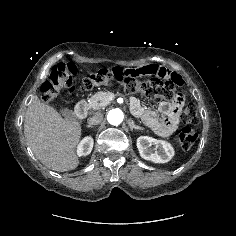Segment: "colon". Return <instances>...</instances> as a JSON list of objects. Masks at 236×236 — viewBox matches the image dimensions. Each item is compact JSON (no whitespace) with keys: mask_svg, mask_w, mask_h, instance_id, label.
I'll use <instances>...</instances> for the list:
<instances>
[{"mask_svg":"<svg viewBox=\"0 0 236 236\" xmlns=\"http://www.w3.org/2000/svg\"><path fill=\"white\" fill-rule=\"evenodd\" d=\"M116 68L122 67L99 69L78 83L76 81L77 70L75 66L70 63H59L52 68L47 80L41 86L42 99L45 102H53L62 90L75 94L116 81L128 93L141 92L147 98L162 99L171 105H178L183 100L180 90L173 80L162 81L157 77H153L146 82L119 81L114 77V70ZM181 120L185 124H195L198 121L197 107L193 104L188 105L182 112ZM197 137L198 134L194 128L189 126L183 127L179 134L180 146L184 150H189L194 145Z\"/></svg>","mask_w":236,"mask_h":236,"instance_id":"colon-1","label":"colon"}]
</instances>
